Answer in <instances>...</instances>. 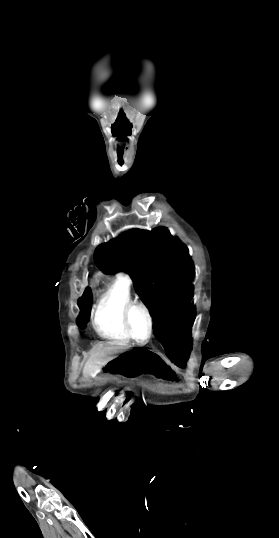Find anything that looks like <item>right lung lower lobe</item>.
Returning <instances> with one entry per match:
<instances>
[{"label": "right lung lower lobe", "instance_id": "98d812e1", "mask_svg": "<svg viewBox=\"0 0 279 538\" xmlns=\"http://www.w3.org/2000/svg\"><path fill=\"white\" fill-rule=\"evenodd\" d=\"M92 291L87 287L81 298L78 300V305L81 309V315L78 319V325L85 327L87 323L88 308L91 306Z\"/></svg>", "mask_w": 279, "mask_h": 538}]
</instances>
